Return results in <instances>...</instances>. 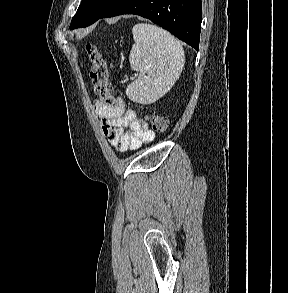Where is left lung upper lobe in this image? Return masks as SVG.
Segmentation results:
<instances>
[{
  "label": "left lung upper lobe",
  "instance_id": "1",
  "mask_svg": "<svg viewBox=\"0 0 288 293\" xmlns=\"http://www.w3.org/2000/svg\"><path fill=\"white\" fill-rule=\"evenodd\" d=\"M116 0H82L75 16L72 18L70 29L86 27L97 21Z\"/></svg>",
  "mask_w": 288,
  "mask_h": 293
}]
</instances>
